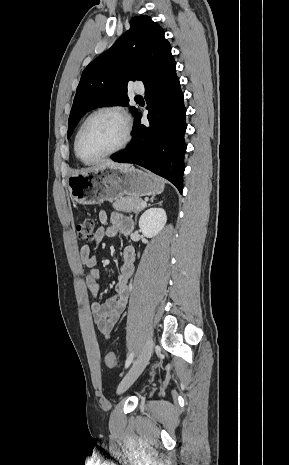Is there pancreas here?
<instances>
[{"label":"pancreas","mask_w":289,"mask_h":465,"mask_svg":"<svg viewBox=\"0 0 289 465\" xmlns=\"http://www.w3.org/2000/svg\"><path fill=\"white\" fill-rule=\"evenodd\" d=\"M142 199L138 197H121L113 203V208L122 212L139 213L142 210Z\"/></svg>","instance_id":"pancreas-1"}]
</instances>
